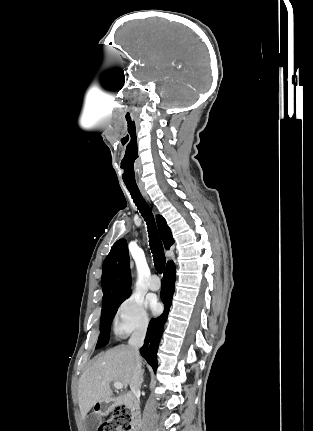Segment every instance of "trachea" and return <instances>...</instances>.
<instances>
[{
    "label": "trachea",
    "instance_id": "3493384b",
    "mask_svg": "<svg viewBox=\"0 0 313 431\" xmlns=\"http://www.w3.org/2000/svg\"><path fill=\"white\" fill-rule=\"evenodd\" d=\"M127 189L130 192V195L132 196V199L136 204V206L138 207L141 215L146 221L148 233H149V245L154 258L155 269L157 270L158 273L161 274L165 267L166 258H165L163 245L158 234V230L154 221L152 211L149 208L146 201L144 200V198L142 197L140 190L138 188L127 186Z\"/></svg>",
    "mask_w": 313,
    "mask_h": 431
}]
</instances>
